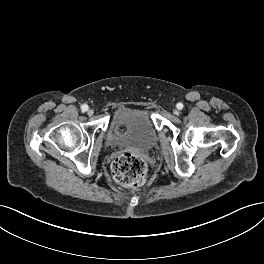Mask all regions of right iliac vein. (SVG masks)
<instances>
[{
    "instance_id": "63e3f726",
    "label": "right iliac vein",
    "mask_w": 264,
    "mask_h": 264,
    "mask_svg": "<svg viewBox=\"0 0 264 264\" xmlns=\"http://www.w3.org/2000/svg\"><path fill=\"white\" fill-rule=\"evenodd\" d=\"M87 114H88L89 116H92V115L94 114V111H93L92 109H89V110L87 111Z\"/></svg>"
}]
</instances>
